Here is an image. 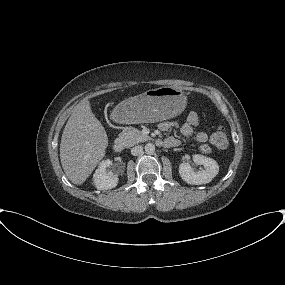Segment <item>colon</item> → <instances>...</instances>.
<instances>
[{"label": "colon", "mask_w": 285, "mask_h": 285, "mask_svg": "<svg viewBox=\"0 0 285 285\" xmlns=\"http://www.w3.org/2000/svg\"><path fill=\"white\" fill-rule=\"evenodd\" d=\"M210 140L212 145L218 150L220 151L226 150L229 143L225 127L220 125L217 128H215L211 133ZM200 150L203 153H208L211 151V148L208 145H202L200 147Z\"/></svg>", "instance_id": "1"}]
</instances>
